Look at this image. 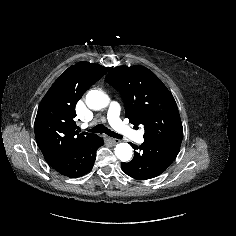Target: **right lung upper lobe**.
Masks as SVG:
<instances>
[{"mask_svg":"<svg viewBox=\"0 0 236 236\" xmlns=\"http://www.w3.org/2000/svg\"><path fill=\"white\" fill-rule=\"evenodd\" d=\"M108 70L79 62L65 70L43 97L35 119V138L45 159L71 151L96 136L76 130L75 106Z\"/></svg>","mask_w":236,"mask_h":236,"instance_id":"cb5924a9","label":"right lung upper lobe"}]
</instances>
